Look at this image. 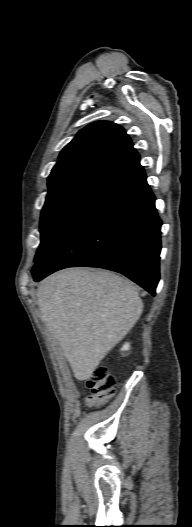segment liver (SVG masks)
<instances>
[{
  "label": "liver",
  "instance_id": "1",
  "mask_svg": "<svg viewBox=\"0 0 192 527\" xmlns=\"http://www.w3.org/2000/svg\"><path fill=\"white\" fill-rule=\"evenodd\" d=\"M41 319L83 381L141 316L138 288L109 271L66 269L37 289Z\"/></svg>",
  "mask_w": 192,
  "mask_h": 527
}]
</instances>
